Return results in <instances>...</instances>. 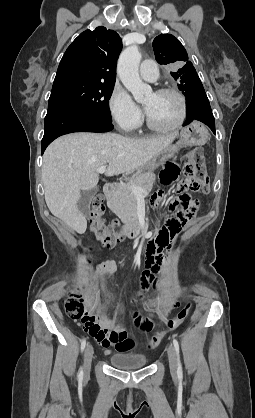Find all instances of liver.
I'll use <instances>...</instances> for the list:
<instances>
[{"label": "liver", "instance_id": "liver-1", "mask_svg": "<svg viewBox=\"0 0 255 418\" xmlns=\"http://www.w3.org/2000/svg\"><path fill=\"white\" fill-rule=\"evenodd\" d=\"M177 135L141 139L80 132L56 139L46 149L42 165L45 201L50 212L83 234L87 221L77 202L81 191L97 186V169L108 163L106 176L131 174L168 148Z\"/></svg>", "mask_w": 255, "mask_h": 418}]
</instances>
